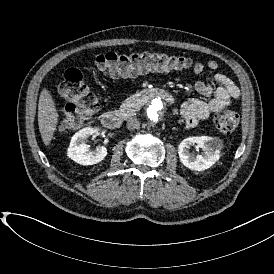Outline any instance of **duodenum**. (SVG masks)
Returning <instances> with one entry per match:
<instances>
[{"instance_id": "duodenum-1", "label": "duodenum", "mask_w": 274, "mask_h": 274, "mask_svg": "<svg viewBox=\"0 0 274 274\" xmlns=\"http://www.w3.org/2000/svg\"><path fill=\"white\" fill-rule=\"evenodd\" d=\"M155 98H160L167 102L173 101V96L162 89H146L140 92L135 97V101L143 104ZM122 119L123 118L120 113L116 111H108V112H105L102 116V124L107 129L115 130L121 126Z\"/></svg>"}]
</instances>
